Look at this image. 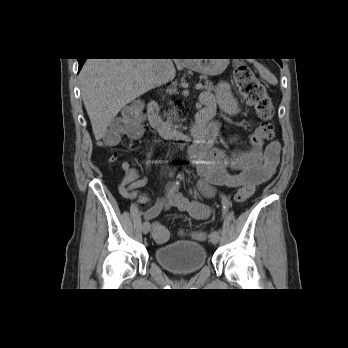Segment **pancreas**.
Listing matches in <instances>:
<instances>
[{
  "mask_svg": "<svg viewBox=\"0 0 348 348\" xmlns=\"http://www.w3.org/2000/svg\"><path fill=\"white\" fill-rule=\"evenodd\" d=\"M203 78L205 79V85H204V89L206 91H213L214 90V85L212 82H210L206 77L203 76ZM168 121L172 122V121H177L178 120V113H177V108L173 107L168 113Z\"/></svg>",
  "mask_w": 348,
  "mask_h": 348,
  "instance_id": "obj_1",
  "label": "pancreas"
}]
</instances>
